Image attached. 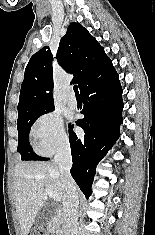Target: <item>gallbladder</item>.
I'll return each mask as SVG.
<instances>
[{
	"instance_id": "obj_1",
	"label": "gallbladder",
	"mask_w": 155,
	"mask_h": 235,
	"mask_svg": "<svg viewBox=\"0 0 155 235\" xmlns=\"http://www.w3.org/2000/svg\"><path fill=\"white\" fill-rule=\"evenodd\" d=\"M56 207L51 203L45 204L38 212L36 223L39 226H44L54 215Z\"/></svg>"
}]
</instances>
